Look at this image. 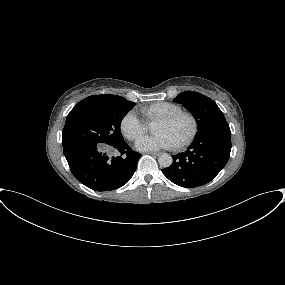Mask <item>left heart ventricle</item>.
Wrapping results in <instances>:
<instances>
[{
  "instance_id": "b2bd125f",
  "label": "left heart ventricle",
  "mask_w": 285,
  "mask_h": 285,
  "mask_svg": "<svg viewBox=\"0 0 285 285\" xmlns=\"http://www.w3.org/2000/svg\"><path fill=\"white\" fill-rule=\"evenodd\" d=\"M189 128L190 123L186 118H180L172 123L156 121L153 124V132L165 133L172 140L174 145L183 140Z\"/></svg>"
}]
</instances>
